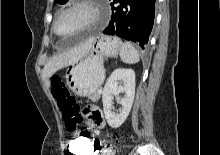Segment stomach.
I'll return each mask as SVG.
<instances>
[{
    "instance_id": "obj_1",
    "label": "stomach",
    "mask_w": 220,
    "mask_h": 155,
    "mask_svg": "<svg viewBox=\"0 0 220 155\" xmlns=\"http://www.w3.org/2000/svg\"><path fill=\"white\" fill-rule=\"evenodd\" d=\"M120 46L121 41L116 37L93 41L87 54L67 69L66 83L70 91L79 97L90 98L96 94L105 79L103 58L117 56Z\"/></svg>"
}]
</instances>
